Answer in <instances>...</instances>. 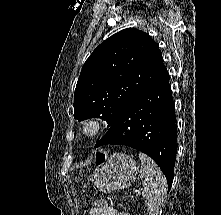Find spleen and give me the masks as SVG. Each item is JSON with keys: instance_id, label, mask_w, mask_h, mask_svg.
Instances as JSON below:
<instances>
[{"instance_id": "3e777b00", "label": "spleen", "mask_w": 221, "mask_h": 215, "mask_svg": "<svg viewBox=\"0 0 221 215\" xmlns=\"http://www.w3.org/2000/svg\"><path fill=\"white\" fill-rule=\"evenodd\" d=\"M141 160V174L145 197V205L149 215H157L160 206L163 204L166 193L167 181L158 165L149 156L139 153Z\"/></svg>"}]
</instances>
